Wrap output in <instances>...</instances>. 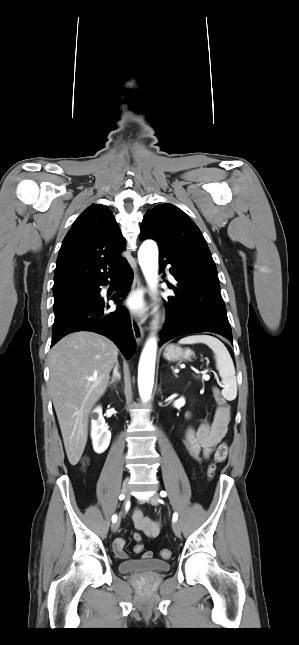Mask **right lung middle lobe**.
Wrapping results in <instances>:
<instances>
[{
	"instance_id": "right-lung-middle-lobe-1",
	"label": "right lung middle lobe",
	"mask_w": 299,
	"mask_h": 645,
	"mask_svg": "<svg viewBox=\"0 0 299 645\" xmlns=\"http://www.w3.org/2000/svg\"><path fill=\"white\" fill-rule=\"evenodd\" d=\"M91 292L92 284H77L53 291L55 316L78 302L87 300Z\"/></svg>"
}]
</instances>
